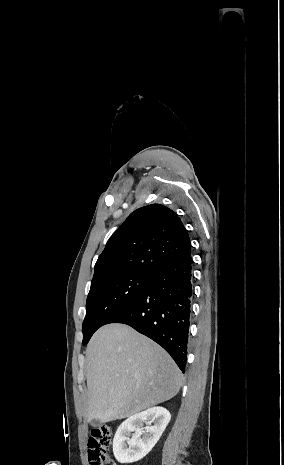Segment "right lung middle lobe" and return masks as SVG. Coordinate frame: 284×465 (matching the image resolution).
Here are the masks:
<instances>
[{"label":"right lung middle lobe","mask_w":284,"mask_h":465,"mask_svg":"<svg viewBox=\"0 0 284 465\" xmlns=\"http://www.w3.org/2000/svg\"><path fill=\"white\" fill-rule=\"evenodd\" d=\"M152 278L153 276L132 273L107 278L91 285L82 325L83 344H87L98 328L131 302Z\"/></svg>","instance_id":"dd1d6c3e"}]
</instances>
